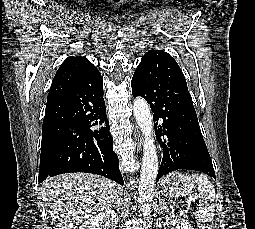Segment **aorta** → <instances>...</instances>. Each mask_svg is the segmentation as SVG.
I'll return each instance as SVG.
<instances>
[{
	"instance_id": "aorta-1",
	"label": "aorta",
	"mask_w": 255,
	"mask_h": 229,
	"mask_svg": "<svg viewBox=\"0 0 255 229\" xmlns=\"http://www.w3.org/2000/svg\"><path fill=\"white\" fill-rule=\"evenodd\" d=\"M133 112L144 136L138 202L144 218L150 220L153 191L159 168L156 146L153 139V121L150 107L142 97H137L134 100Z\"/></svg>"
}]
</instances>
